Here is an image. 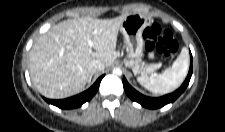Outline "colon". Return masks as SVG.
Here are the masks:
<instances>
[{
	"mask_svg": "<svg viewBox=\"0 0 225 132\" xmlns=\"http://www.w3.org/2000/svg\"><path fill=\"white\" fill-rule=\"evenodd\" d=\"M143 37L149 50L155 49L164 56H171L178 49L174 33L169 29L162 30L158 24L147 26L143 32Z\"/></svg>",
	"mask_w": 225,
	"mask_h": 132,
	"instance_id": "1",
	"label": "colon"
}]
</instances>
